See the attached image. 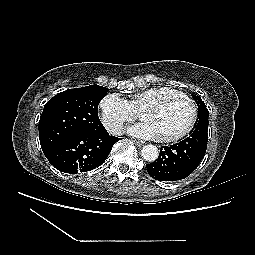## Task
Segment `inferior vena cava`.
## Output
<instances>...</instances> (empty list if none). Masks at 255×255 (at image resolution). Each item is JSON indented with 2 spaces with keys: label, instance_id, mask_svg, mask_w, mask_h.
Listing matches in <instances>:
<instances>
[{
  "label": "inferior vena cava",
  "instance_id": "1",
  "mask_svg": "<svg viewBox=\"0 0 255 255\" xmlns=\"http://www.w3.org/2000/svg\"><path fill=\"white\" fill-rule=\"evenodd\" d=\"M111 133H113L115 135H121L122 134V128L119 125H117V126L112 128Z\"/></svg>",
  "mask_w": 255,
  "mask_h": 255
}]
</instances>
